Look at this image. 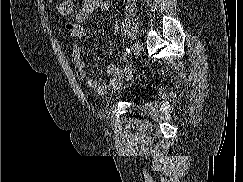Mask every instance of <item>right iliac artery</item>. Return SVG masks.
<instances>
[{"label": "right iliac artery", "instance_id": "right-iliac-artery-1", "mask_svg": "<svg viewBox=\"0 0 243 182\" xmlns=\"http://www.w3.org/2000/svg\"><path fill=\"white\" fill-rule=\"evenodd\" d=\"M130 53V49L126 48L125 52H124V56L127 57Z\"/></svg>", "mask_w": 243, "mask_h": 182}]
</instances>
